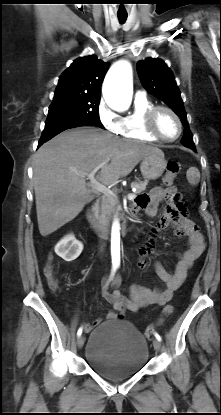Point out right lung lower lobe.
Returning a JSON list of instances; mask_svg holds the SVG:
<instances>
[{
	"instance_id": "right-lung-lower-lobe-1",
	"label": "right lung lower lobe",
	"mask_w": 221,
	"mask_h": 415,
	"mask_svg": "<svg viewBox=\"0 0 221 415\" xmlns=\"http://www.w3.org/2000/svg\"><path fill=\"white\" fill-rule=\"evenodd\" d=\"M79 126H94L81 120H46L45 128L38 142V147L64 130Z\"/></svg>"
}]
</instances>
